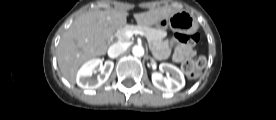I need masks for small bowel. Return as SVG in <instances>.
Returning a JSON list of instances; mask_svg holds the SVG:
<instances>
[{
    "mask_svg": "<svg viewBox=\"0 0 276 120\" xmlns=\"http://www.w3.org/2000/svg\"><path fill=\"white\" fill-rule=\"evenodd\" d=\"M193 54L194 50L192 45H183L176 49L174 53V60L177 62H181L185 57L192 56Z\"/></svg>",
    "mask_w": 276,
    "mask_h": 120,
    "instance_id": "small-bowel-1",
    "label": "small bowel"
}]
</instances>
